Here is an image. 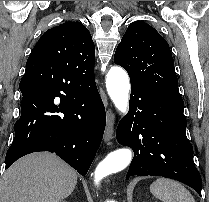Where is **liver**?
Wrapping results in <instances>:
<instances>
[{"instance_id":"6515ba94","label":"liver","mask_w":209,"mask_h":202,"mask_svg":"<svg viewBox=\"0 0 209 202\" xmlns=\"http://www.w3.org/2000/svg\"><path fill=\"white\" fill-rule=\"evenodd\" d=\"M77 184V173L51 153L19 159L0 181V202H59Z\"/></svg>"}]
</instances>
